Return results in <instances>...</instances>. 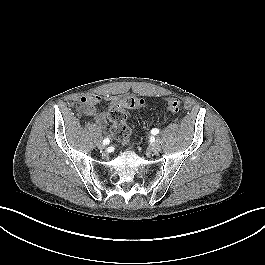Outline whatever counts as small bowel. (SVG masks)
Here are the masks:
<instances>
[{"instance_id": "small-bowel-1", "label": "small bowel", "mask_w": 265, "mask_h": 265, "mask_svg": "<svg viewBox=\"0 0 265 265\" xmlns=\"http://www.w3.org/2000/svg\"><path fill=\"white\" fill-rule=\"evenodd\" d=\"M103 98L99 94H88L80 98V110L88 116L94 118L96 124L100 127H105L107 124L106 113L98 112L96 105L99 104ZM117 97L107 98L108 103H114Z\"/></svg>"}]
</instances>
